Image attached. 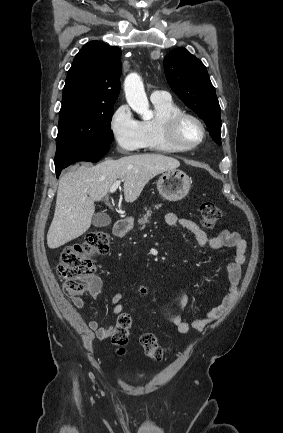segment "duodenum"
<instances>
[{"label": "duodenum", "mask_w": 283, "mask_h": 433, "mask_svg": "<svg viewBox=\"0 0 283 433\" xmlns=\"http://www.w3.org/2000/svg\"><path fill=\"white\" fill-rule=\"evenodd\" d=\"M113 230L117 237H122L128 230V223L124 220H118L115 222Z\"/></svg>", "instance_id": "1"}]
</instances>
